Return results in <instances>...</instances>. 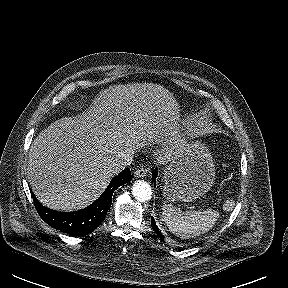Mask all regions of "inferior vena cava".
<instances>
[{
    "mask_svg": "<svg viewBox=\"0 0 288 288\" xmlns=\"http://www.w3.org/2000/svg\"><path fill=\"white\" fill-rule=\"evenodd\" d=\"M133 161V157L129 153H121L118 155L110 164V171L114 174H117L118 172L125 169L127 166H129Z\"/></svg>",
    "mask_w": 288,
    "mask_h": 288,
    "instance_id": "obj_1",
    "label": "inferior vena cava"
}]
</instances>
